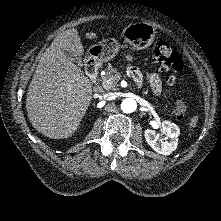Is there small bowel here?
Returning a JSON list of instances; mask_svg holds the SVG:
<instances>
[{
    "label": "small bowel",
    "instance_id": "1",
    "mask_svg": "<svg viewBox=\"0 0 221 221\" xmlns=\"http://www.w3.org/2000/svg\"><path fill=\"white\" fill-rule=\"evenodd\" d=\"M129 72L135 79H137V80L140 79L139 71L136 68L130 67ZM148 79H149V83H150V86L153 89V91L155 93H160L161 92V82H160V79L157 76V74L149 73Z\"/></svg>",
    "mask_w": 221,
    "mask_h": 221
}]
</instances>
